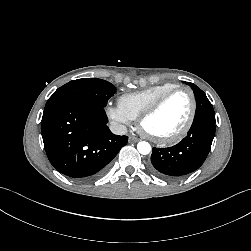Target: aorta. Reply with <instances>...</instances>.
I'll use <instances>...</instances> for the list:
<instances>
[{"mask_svg":"<svg viewBox=\"0 0 251 251\" xmlns=\"http://www.w3.org/2000/svg\"><path fill=\"white\" fill-rule=\"evenodd\" d=\"M137 149L140 154L147 155L151 151V146L148 142L142 141L137 144Z\"/></svg>","mask_w":251,"mask_h":251,"instance_id":"obj_1","label":"aorta"}]
</instances>
